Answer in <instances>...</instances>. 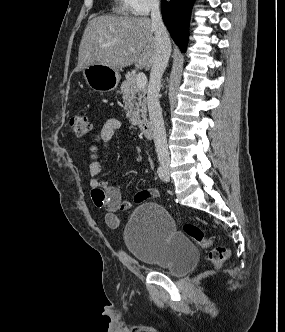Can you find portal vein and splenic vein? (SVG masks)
Instances as JSON below:
<instances>
[{"instance_id":"18ae733b","label":"portal vein and splenic vein","mask_w":285,"mask_h":332,"mask_svg":"<svg viewBox=\"0 0 285 332\" xmlns=\"http://www.w3.org/2000/svg\"><path fill=\"white\" fill-rule=\"evenodd\" d=\"M147 84V77L144 73H138L136 85L138 88H144Z\"/></svg>"}]
</instances>
